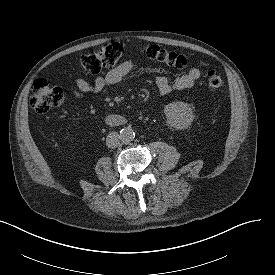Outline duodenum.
<instances>
[{"label": "duodenum", "instance_id": "410a0bca", "mask_svg": "<svg viewBox=\"0 0 275 275\" xmlns=\"http://www.w3.org/2000/svg\"><path fill=\"white\" fill-rule=\"evenodd\" d=\"M105 122L108 125H112V126H120V125H124L127 123V119L118 115H107L105 117Z\"/></svg>", "mask_w": 275, "mask_h": 275}]
</instances>
